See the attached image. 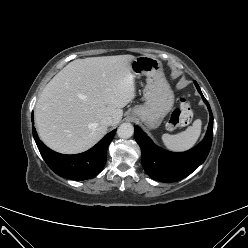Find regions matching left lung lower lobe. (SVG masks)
<instances>
[{
    "label": "left lung lower lobe",
    "mask_w": 248,
    "mask_h": 248,
    "mask_svg": "<svg viewBox=\"0 0 248 248\" xmlns=\"http://www.w3.org/2000/svg\"><path fill=\"white\" fill-rule=\"evenodd\" d=\"M194 83L210 113L208 130L204 139L197 146L183 153L166 151L156 146L142 129L135 125L134 136L141 148L143 168L154 180L162 182L179 181L196 170L208 156L213 138V115L198 84L195 81Z\"/></svg>",
    "instance_id": "0a47b994"
}]
</instances>
